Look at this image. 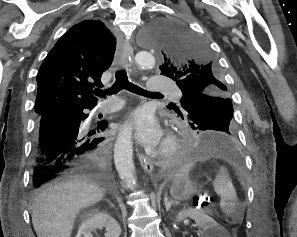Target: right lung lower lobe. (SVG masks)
<instances>
[{
	"label": "right lung lower lobe",
	"mask_w": 297,
	"mask_h": 237,
	"mask_svg": "<svg viewBox=\"0 0 297 237\" xmlns=\"http://www.w3.org/2000/svg\"><path fill=\"white\" fill-rule=\"evenodd\" d=\"M93 107L55 109L37 116L32 166L35 188L73 174L109 176L105 138L94 137L107 127V123L99 122L88 132L80 126L88 117L83 110Z\"/></svg>",
	"instance_id": "1"
}]
</instances>
